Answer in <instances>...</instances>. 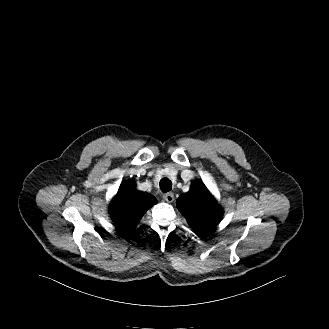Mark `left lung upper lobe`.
<instances>
[{
	"label": "left lung upper lobe",
	"instance_id": "1",
	"mask_svg": "<svg viewBox=\"0 0 329 329\" xmlns=\"http://www.w3.org/2000/svg\"><path fill=\"white\" fill-rule=\"evenodd\" d=\"M176 205L199 237L221 221L222 209L201 181H194L190 190L180 195Z\"/></svg>",
	"mask_w": 329,
	"mask_h": 329
}]
</instances>
